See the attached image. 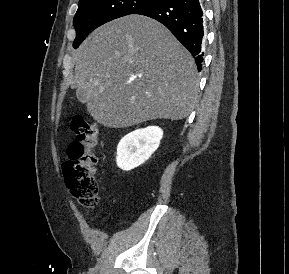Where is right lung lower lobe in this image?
<instances>
[{
	"label": "right lung lower lobe",
	"mask_w": 289,
	"mask_h": 274,
	"mask_svg": "<svg viewBox=\"0 0 289 274\" xmlns=\"http://www.w3.org/2000/svg\"><path fill=\"white\" fill-rule=\"evenodd\" d=\"M134 14L148 16L165 25L191 52L201 70L204 35L201 0H157Z\"/></svg>",
	"instance_id": "98d812e1"
}]
</instances>
